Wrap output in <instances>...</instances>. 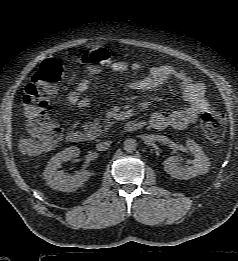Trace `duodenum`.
Here are the masks:
<instances>
[{
	"label": "duodenum",
	"instance_id": "410a0bca",
	"mask_svg": "<svg viewBox=\"0 0 238 261\" xmlns=\"http://www.w3.org/2000/svg\"><path fill=\"white\" fill-rule=\"evenodd\" d=\"M144 126L142 121L130 120L125 124V130L128 132H134L141 129ZM67 140L73 144H81L87 141V135L80 130H72L67 134Z\"/></svg>",
	"mask_w": 238,
	"mask_h": 261
}]
</instances>
